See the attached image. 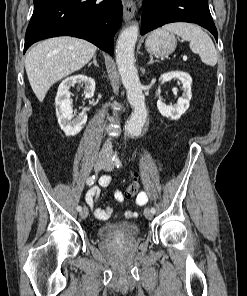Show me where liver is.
<instances>
[{"label": "liver", "instance_id": "liver-1", "mask_svg": "<svg viewBox=\"0 0 247 296\" xmlns=\"http://www.w3.org/2000/svg\"><path fill=\"white\" fill-rule=\"evenodd\" d=\"M96 46L75 37H55L34 46L25 59V69L33 92L42 102L49 88L81 69L94 56Z\"/></svg>", "mask_w": 247, "mask_h": 296}]
</instances>
